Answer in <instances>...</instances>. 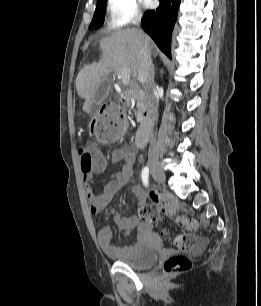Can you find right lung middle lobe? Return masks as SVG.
<instances>
[{"label":"right lung middle lobe","mask_w":261,"mask_h":306,"mask_svg":"<svg viewBox=\"0 0 261 306\" xmlns=\"http://www.w3.org/2000/svg\"><path fill=\"white\" fill-rule=\"evenodd\" d=\"M106 1L107 0H97V6H96L95 14H94V17L91 21L89 29L99 28L103 24Z\"/></svg>","instance_id":"obj_1"}]
</instances>
